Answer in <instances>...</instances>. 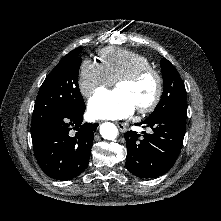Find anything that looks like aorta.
<instances>
[{"label": "aorta", "instance_id": "aorta-1", "mask_svg": "<svg viewBox=\"0 0 221 221\" xmlns=\"http://www.w3.org/2000/svg\"><path fill=\"white\" fill-rule=\"evenodd\" d=\"M100 134L104 139L114 140L118 135V129L113 123H103L100 126Z\"/></svg>", "mask_w": 221, "mask_h": 221}]
</instances>
